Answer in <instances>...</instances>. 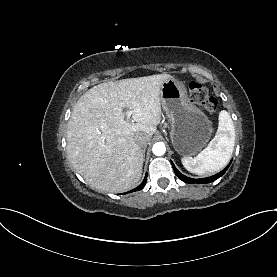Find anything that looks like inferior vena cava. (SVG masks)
<instances>
[{"mask_svg": "<svg viewBox=\"0 0 277 277\" xmlns=\"http://www.w3.org/2000/svg\"><path fill=\"white\" fill-rule=\"evenodd\" d=\"M135 141L137 142V144H139L141 147H145L150 139L148 136L144 135L143 133H138L135 136Z\"/></svg>", "mask_w": 277, "mask_h": 277, "instance_id": "inferior-vena-cava-1", "label": "inferior vena cava"}]
</instances>
